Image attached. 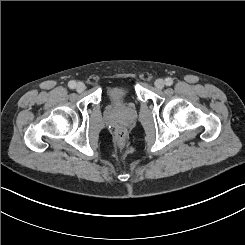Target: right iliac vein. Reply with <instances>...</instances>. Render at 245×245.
I'll return each mask as SVG.
<instances>
[{"label":"right iliac vein","mask_w":245,"mask_h":245,"mask_svg":"<svg viewBox=\"0 0 245 245\" xmlns=\"http://www.w3.org/2000/svg\"><path fill=\"white\" fill-rule=\"evenodd\" d=\"M85 88H86V86L82 82H78L77 85H76V90L78 92H83L85 90Z\"/></svg>","instance_id":"63e3f726"}]
</instances>
